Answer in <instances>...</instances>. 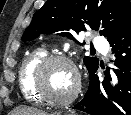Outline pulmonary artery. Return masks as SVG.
Listing matches in <instances>:
<instances>
[{
  "label": "pulmonary artery",
  "mask_w": 131,
  "mask_h": 115,
  "mask_svg": "<svg viewBox=\"0 0 131 115\" xmlns=\"http://www.w3.org/2000/svg\"><path fill=\"white\" fill-rule=\"evenodd\" d=\"M93 42H94L95 47L100 49L104 54H106L108 52L107 43H106V40L103 37L96 35L94 37Z\"/></svg>",
  "instance_id": "e3ab8cb5"
}]
</instances>
